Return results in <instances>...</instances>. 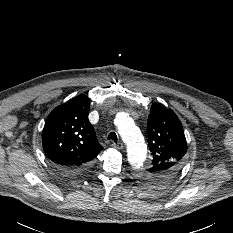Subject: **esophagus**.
Here are the masks:
<instances>
[{
    "mask_svg": "<svg viewBox=\"0 0 233 233\" xmlns=\"http://www.w3.org/2000/svg\"><path fill=\"white\" fill-rule=\"evenodd\" d=\"M112 146L114 147V148H116V149H118V150H121V149H123V143H121V142H118V143H112Z\"/></svg>",
    "mask_w": 233,
    "mask_h": 233,
    "instance_id": "obj_1",
    "label": "esophagus"
}]
</instances>
